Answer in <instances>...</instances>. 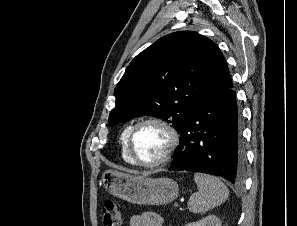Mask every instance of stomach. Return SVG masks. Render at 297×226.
<instances>
[{
	"instance_id": "obj_1",
	"label": "stomach",
	"mask_w": 297,
	"mask_h": 226,
	"mask_svg": "<svg viewBox=\"0 0 297 226\" xmlns=\"http://www.w3.org/2000/svg\"><path fill=\"white\" fill-rule=\"evenodd\" d=\"M102 182L109 193L133 204H167L179 194L177 182L166 177L151 178L107 170L102 174Z\"/></svg>"
}]
</instances>
